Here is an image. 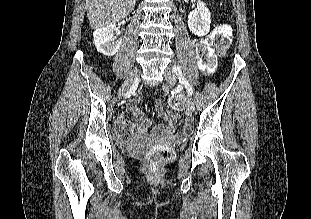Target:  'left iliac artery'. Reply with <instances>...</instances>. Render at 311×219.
Masks as SVG:
<instances>
[{
	"instance_id": "44dca946",
	"label": "left iliac artery",
	"mask_w": 311,
	"mask_h": 219,
	"mask_svg": "<svg viewBox=\"0 0 311 219\" xmlns=\"http://www.w3.org/2000/svg\"><path fill=\"white\" fill-rule=\"evenodd\" d=\"M173 72L178 76L179 82L185 85V88L187 90V93L189 95H192L193 93V89L192 86L190 85V83L186 80V78L184 77L180 67H178L177 65H174L172 67Z\"/></svg>"
}]
</instances>
